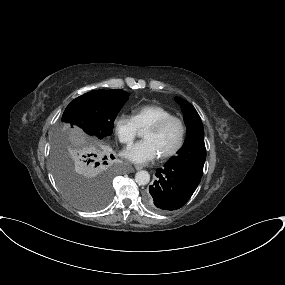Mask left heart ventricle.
I'll use <instances>...</instances> for the list:
<instances>
[{
    "label": "left heart ventricle",
    "instance_id": "1",
    "mask_svg": "<svg viewBox=\"0 0 285 285\" xmlns=\"http://www.w3.org/2000/svg\"><path fill=\"white\" fill-rule=\"evenodd\" d=\"M181 134L180 126L177 122H171L158 132L144 131V140L151 141L158 151L163 155L171 151L179 142Z\"/></svg>",
    "mask_w": 285,
    "mask_h": 285
}]
</instances>
